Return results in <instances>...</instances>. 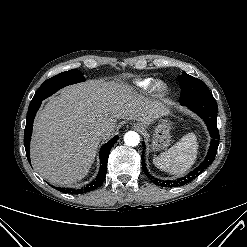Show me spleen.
I'll list each match as a JSON object with an SVG mask.
<instances>
[{
	"mask_svg": "<svg viewBox=\"0 0 247 247\" xmlns=\"http://www.w3.org/2000/svg\"><path fill=\"white\" fill-rule=\"evenodd\" d=\"M197 154V137L194 133H188L167 151L155 157L153 163L165 172L182 175L194 165Z\"/></svg>",
	"mask_w": 247,
	"mask_h": 247,
	"instance_id": "3e777b00",
	"label": "spleen"
}]
</instances>
